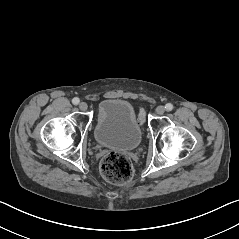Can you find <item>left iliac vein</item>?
I'll return each mask as SVG.
<instances>
[{
    "label": "left iliac vein",
    "mask_w": 239,
    "mask_h": 239,
    "mask_svg": "<svg viewBox=\"0 0 239 239\" xmlns=\"http://www.w3.org/2000/svg\"><path fill=\"white\" fill-rule=\"evenodd\" d=\"M156 113L158 114V115H163L164 114V112H165V108H164V106H158L157 108H156Z\"/></svg>",
    "instance_id": "4c4485c4"
}]
</instances>
